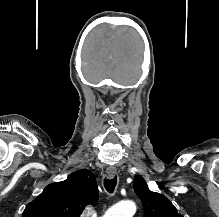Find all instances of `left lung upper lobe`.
Masks as SVG:
<instances>
[{
  "label": "left lung upper lobe",
  "mask_w": 219,
  "mask_h": 217,
  "mask_svg": "<svg viewBox=\"0 0 219 217\" xmlns=\"http://www.w3.org/2000/svg\"><path fill=\"white\" fill-rule=\"evenodd\" d=\"M134 189L143 203L144 217H183L164 195L150 191L141 176H135Z\"/></svg>",
  "instance_id": "left-lung-upper-lobe-1"
}]
</instances>
